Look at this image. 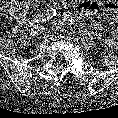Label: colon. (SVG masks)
<instances>
[{
	"label": "colon",
	"instance_id": "5ec220e1",
	"mask_svg": "<svg viewBox=\"0 0 118 118\" xmlns=\"http://www.w3.org/2000/svg\"><path fill=\"white\" fill-rule=\"evenodd\" d=\"M28 0H0V14L8 17L19 16L27 8Z\"/></svg>",
	"mask_w": 118,
	"mask_h": 118
}]
</instances>
